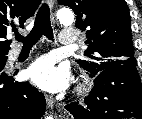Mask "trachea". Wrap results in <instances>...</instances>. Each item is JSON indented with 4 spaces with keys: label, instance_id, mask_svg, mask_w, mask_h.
Listing matches in <instances>:
<instances>
[{
    "label": "trachea",
    "instance_id": "trachea-1",
    "mask_svg": "<svg viewBox=\"0 0 142 119\" xmlns=\"http://www.w3.org/2000/svg\"><path fill=\"white\" fill-rule=\"evenodd\" d=\"M42 35L46 36L49 40H53V29L50 22V9L46 3L39 8L35 18L34 27L31 32L26 37L16 34L15 39L22 42L23 47H32L39 41Z\"/></svg>",
    "mask_w": 142,
    "mask_h": 119
}]
</instances>
